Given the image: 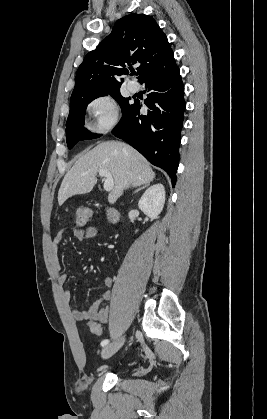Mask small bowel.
<instances>
[{"label": "small bowel", "instance_id": "obj_1", "mask_svg": "<svg viewBox=\"0 0 267 419\" xmlns=\"http://www.w3.org/2000/svg\"><path fill=\"white\" fill-rule=\"evenodd\" d=\"M99 234V229L97 227H76L73 229H63L60 230L52 240V250H53V258H54V270L58 274V281L61 285L66 284L68 281V275L66 273H61L60 262L58 258L57 247L60 241L67 235H71L73 238L79 241H85L91 239ZM104 285L107 288H111L113 286V279L111 277H106L104 279ZM64 298L69 301L71 298V292L69 290L63 291ZM111 299V291H105L101 298L89 306L85 310H73L72 316L76 321H98L99 323L103 324L106 323L109 319V308L105 305Z\"/></svg>", "mask_w": 267, "mask_h": 419}]
</instances>
